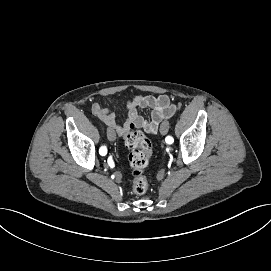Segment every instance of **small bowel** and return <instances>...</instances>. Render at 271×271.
<instances>
[{
    "mask_svg": "<svg viewBox=\"0 0 271 271\" xmlns=\"http://www.w3.org/2000/svg\"><path fill=\"white\" fill-rule=\"evenodd\" d=\"M125 107L126 115L122 123L117 121L114 113L99 103L92 105L91 113L107 127V130L123 135L133 127L150 134H156L159 124L172 117L176 112V106L166 95H136L126 102ZM144 108L152 110L150 119L139 114L138 109Z\"/></svg>",
    "mask_w": 271,
    "mask_h": 271,
    "instance_id": "c3829d8e",
    "label": "small bowel"
}]
</instances>
